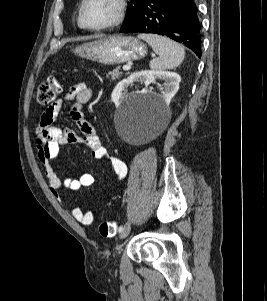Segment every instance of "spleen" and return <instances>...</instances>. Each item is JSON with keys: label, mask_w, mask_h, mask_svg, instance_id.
I'll use <instances>...</instances> for the list:
<instances>
[{"label": "spleen", "mask_w": 267, "mask_h": 301, "mask_svg": "<svg viewBox=\"0 0 267 301\" xmlns=\"http://www.w3.org/2000/svg\"><path fill=\"white\" fill-rule=\"evenodd\" d=\"M138 38L146 41L159 56L150 61L154 71L174 69L184 60V48L171 39L153 34H140Z\"/></svg>", "instance_id": "obj_1"}]
</instances>
